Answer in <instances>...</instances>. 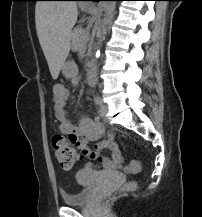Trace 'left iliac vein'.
<instances>
[{"instance_id": "4c4485c4", "label": "left iliac vein", "mask_w": 202, "mask_h": 217, "mask_svg": "<svg viewBox=\"0 0 202 217\" xmlns=\"http://www.w3.org/2000/svg\"><path fill=\"white\" fill-rule=\"evenodd\" d=\"M107 112H108V106L102 103L100 105V108H99V114H100V116H102L103 118H105Z\"/></svg>"}]
</instances>
